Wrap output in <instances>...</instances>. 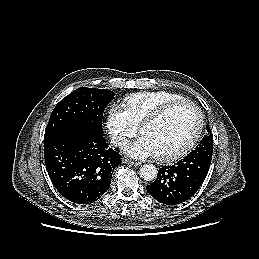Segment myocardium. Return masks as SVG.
Here are the masks:
<instances>
[{
  "label": "myocardium",
  "mask_w": 259,
  "mask_h": 259,
  "mask_svg": "<svg viewBox=\"0 0 259 259\" xmlns=\"http://www.w3.org/2000/svg\"><path fill=\"white\" fill-rule=\"evenodd\" d=\"M180 105H188L197 112L198 115V125L196 128V131L194 132L193 136L178 150L164 154V155H156V159L162 162H172L175 161L184 155H186L198 142V140L201 137V134L204 129V115L201 110V108L193 101L188 99H182L170 102L161 108H159L157 111L152 113L150 116H148L146 119L142 121V123L139 126L140 133L142 132L143 128L145 126L154 124L158 121H160L162 118H164L170 111H172L174 108L180 106Z\"/></svg>",
  "instance_id": "myocardium-1"
}]
</instances>
